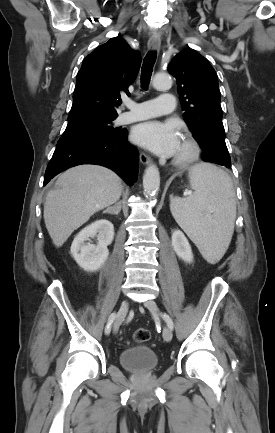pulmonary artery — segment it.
<instances>
[{"instance_id": "1", "label": "pulmonary artery", "mask_w": 275, "mask_h": 433, "mask_svg": "<svg viewBox=\"0 0 275 433\" xmlns=\"http://www.w3.org/2000/svg\"><path fill=\"white\" fill-rule=\"evenodd\" d=\"M175 104L174 95L171 93H162L157 98L140 103L127 101L125 106L129 110L119 116V122L127 124L154 116L170 114L173 112Z\"/></svg>"}]
</instances>
